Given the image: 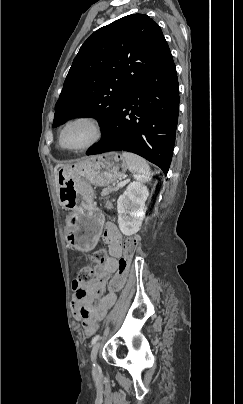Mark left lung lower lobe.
<instances>
[{"label": "left lung lower lobe", "mask_w": 243, "mask_h": 404, "mask_svg": "<svg viewBox=\"0 0 243 404\" xmlns=\"http://www.w3.org/2000/svg\"><path fill=\"white\" fill-rule=\"evenodd\" d=\"M179 85L171 53L140 80L102 129V140L87 155L124 150L136 153L167 174L175 143Z\"/></svg>", "instance_id": "left-lung-lower-lobe-1"}]
</instances>
